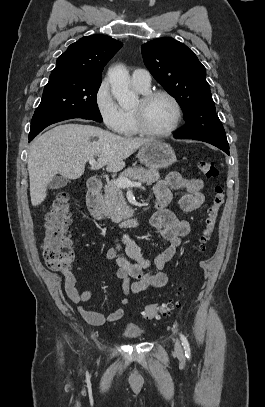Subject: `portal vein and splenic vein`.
<instances>
[{
	"instance_id": "1",
	"label": "portal vein and splenic vein",
	"mask_w": 265,
	"mask_h": 407,
	"mask_svg": "<svg viewBox=\"0 0 265 407\" xmlns=\"http://www.w3.org/2000/svg\"><path fill=\"white\" fill-rule=\"evenodd\" d=\"M95 163H96L95 158H91L89 160L90 165H94ZM115 185L119 188L142 187L141 182H133L129 179H117L115 181Z\"/></svg>"
}]
</instances>
